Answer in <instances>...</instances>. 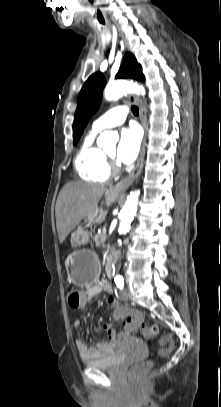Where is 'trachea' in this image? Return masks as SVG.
Wrapping results in <instances>:
<instances>
[{
	"mask_svg": "<svg viewBox=\"0 0 221 407\" xmlns=\"http://www.w3.org/2000/svg\"><path fill=\"white\" fill-rule=\"evenodd\" d=\"M131 109H132L133 114H134L135 116H138V114H139V109H138V107L132 106Z\"/></svg>",
	"mask_w": 221,
	"mask_h": 407,
	"instance_id": "1",
	"label": "trachea"
}]
</instances>
